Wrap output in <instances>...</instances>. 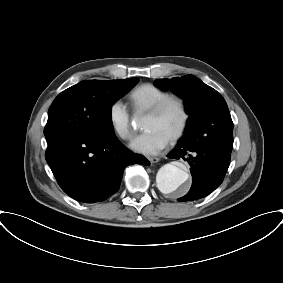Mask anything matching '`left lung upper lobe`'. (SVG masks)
Returning a JSON list of instances; mask_svg holds the SVG:
<instances>
[{"instance_id": "left-lung-upper-lobe-1", "label": "left lung upper lobe", "mask_w": 283, "mask_h": 283, "mask_svg": "<svg viewBox=\"0 0 283 283\" xmlns=\"http://www.w3.org/2000/svg\"><path fill=\"white\" fill-rule=\"evenodd\" d=\"M155 85L185 99L188 128H198L201 141L210 148L232 151L233 122L224 98L193 75L158 79Z\"/></svg>"}]
</instances>
